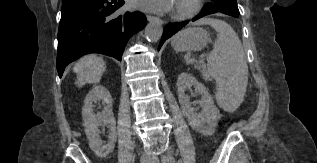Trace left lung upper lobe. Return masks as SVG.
Returning <instances> with one entry per match:
<instances>
[{
    "label": "left lung upper lobe",
    "mask_w": 317,
    "mask_h": 163,
    "mask_svg": "<svg viewBox=\"0 0 317 163\" xmlns=\"http://www.w3.org/2000/svg\"><path fill=\"white\" fill-rule=\"evenodd\" d=\"M213 3H207L204 10L222 12L225 14H231L238 16L239 10L236 0H212Z\"/></svg>",
    "instance_id": "1"
}]
</instances>
